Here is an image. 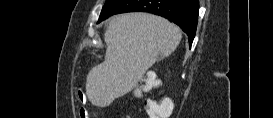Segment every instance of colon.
<instances>
[{
	"instance_id": "5ec220e1",
	"label": "colon",
	"mask_w": 273,
	"mask_h": 118,
	"mask_svg": "<svg viewBox=\"0 0 273 118\" xmlns=\"http://www.w3.org/2000/svg\"><path fill=\"white\" fill-rule=\"evenodd\" d=\"M152 82L150 79L144 80L141 84V88L151 86ZM146 108L152 118H164L169 116L172 111V101L169 98L163 99L160 103L155 101H148Z\"/></svg>"
}]
</instances>
